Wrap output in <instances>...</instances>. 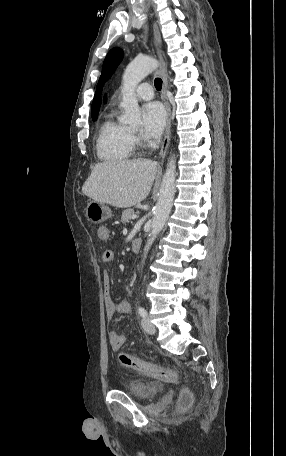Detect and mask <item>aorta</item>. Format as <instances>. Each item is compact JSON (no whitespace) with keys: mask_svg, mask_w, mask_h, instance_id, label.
I'll use <instances>...</instances> for the list:
<instances>
[{"mask_svg":"<svg viewBox=\"0 0 286 456\" xmlns=\"http://www.w3.org/2000/svg\"><path fill=\"white\" fill-rule=\"evenodd\" d=\"M157 67L158 61L151 57L136 58L126 67L123 74V86L121 90V106L124 108L125 112L122 117V122L124 124L132 126L141 125V112L135 95V88ZM175 178L176 161L174 157H172L168 161L159 189L158 201L154 209V216L151 224V232L144 249V259L169 217L175 195Z\"/></svg>","mask_w":286,"mask_h":456,"instance_id":"obj_1","label":"aorta"}]
</instances>
